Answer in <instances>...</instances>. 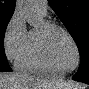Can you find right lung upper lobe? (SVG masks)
<instances>
[{
    "label": "right lung upper lobe",
    "instance_id": "cb5924a9",
    "mask_svg": "<svg viewBox=\"0 0 89 89\" xmlns=\"http://www.w3.org/2000/svg\"><path fill=\"white\" fill-rule=\"evenodd\" d=\"M15 0H0V12L13 13Z\"/></svg>",
    "mask_w": 89,
    "mask_h": 89
}]
</instances>
